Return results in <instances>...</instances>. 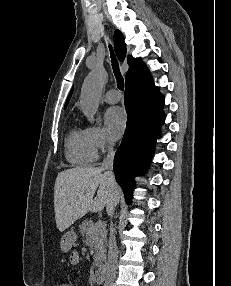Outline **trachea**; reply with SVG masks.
<instances>
[{
    "mask_svg": "<svg viewBox=\"0 0 231 286\" xmlns=\"http://www.w3.org/2000/svg\"><path fill=\"white\" fill-rule=\"evenodd\" d=\"M109 49H110V54H111V62H112L113 72H114V74L116 76V80H117V87L121 91H123L124 90V80H123V77L120 73L119 65H118L117 59L114 55V52H113L111 45H109Z\"/></svg>",
    "mask_w": 231,
    "mask_h": 286,
    "instance_id": "3493384b",
    "label": "trachea"
}]
</instances>
